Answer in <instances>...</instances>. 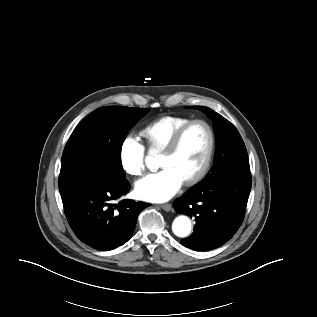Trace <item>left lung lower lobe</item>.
<instances>
[{
  "label": "left lung lower lobe",
  "mask_w": 317,
  "mask_h": 317,
  "mask_svg": "<svg viewBox=\"0 0 317 317\" xmlns=\"http://www.w3.org/2000/svg\"><path fill=\"white\" fill-rule=\"evenodd\" d=\"M250 172H233L213 182H201L173 203L177 212L195 218L194 232L181 242L194 250L223 245L243 222L251 190Z\"/></svg>",
  "instance_id": "0a47b994"
}]
</instances>
